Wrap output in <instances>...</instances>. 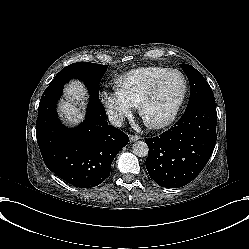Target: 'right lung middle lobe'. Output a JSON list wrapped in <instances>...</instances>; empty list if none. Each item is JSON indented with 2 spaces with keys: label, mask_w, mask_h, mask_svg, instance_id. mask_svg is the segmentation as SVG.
I'll return each instance as SVG.
<instances>
[{
  "label": "right lung middle lobe",
  "mask_w": 249,
  "mask_h": 249,
  "mask_svg": "<svg viewBox=\"0 0 249 249\" xmlns=\"http://www.w3.org/2000/svg\"><path fill=\"white\" fill-rule=\"evenodd\" d=\"M107 65L77 62L62 69L49 84L62 86L71 78L82 80L87 86L91 99L99 101V84L107 70Z\"/></svg>",
  "instance_id": "right-lung-middle-lobe-1"
}]
</instances>
